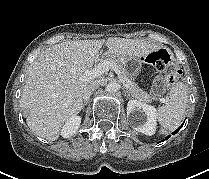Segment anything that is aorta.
I'll use <instances>...</instances> for the list:
<instances>
[{"mask_svg": "<svg viewBox=\"0 0 209 179\" xmlns=\"http://www.w3.org/2000/svg\"><path fill=\"white\" fill-rule=\"evenodd\" d=\"M119 90V84L116 81H110L106 85V91L109 93H115Z\"/></svg>", "mask_w": 209, "mask_h": 179, "instance_id": "aorta-1", "label": "aorta"}]
</instances>
